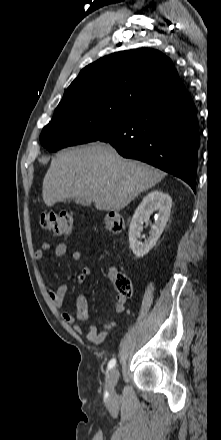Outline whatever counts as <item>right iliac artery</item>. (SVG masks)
<instances>
[{
    "mask_svg": "<svg viewBox=\"0 0 221 440\" xmlns=\"http://www.w3.org/2000/svg\"><path fill=\"white\" fill-rule=\"evenodd\" d=\"M115 364H116V359L110 360V362L108 363V370L113 369Z\"/></svg>",
    "mask_w": 221,
    "mask_h": 440,
    "instance_id": "82829eb1",
    "label": "right iliac artery"
}]
</instances>
